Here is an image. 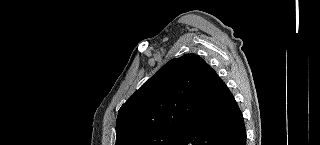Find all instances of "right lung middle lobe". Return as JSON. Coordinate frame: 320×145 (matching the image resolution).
I'll return each mask as SVG.
<instances>
[{"mask_svg":"<svg viewBox=\"0 0 320 145\" xmlns=\"http://www.w3.org/2000/svg\"><path fill=\"white\" fill-rule=\"evenodd\" d=\"M184 128H171L152 132L136 140L132 145H170Z\"/></svg>","mask_w":320,"mask_h":145,"instance_id":"right-lung-middle-lobe-1","label":"right lung middle lobe"}]
</instances>
